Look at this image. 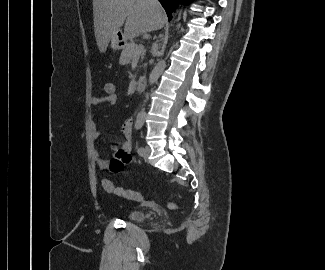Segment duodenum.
I'll return each mask as SVG.
<instances>
[{
  "mask_svg": "<svg viewBox=\"0 0 325 270\" xmlns=\"http://www.w3.org/2000/svg\"><path fill=\"white\" fill-rule=\"evenodd\" d=\"M148 85V79L146 77H140L136 83V93H141Z\"/></svg>",
  "mask_w": 325,
  "mask_h": 270,
  "instance_id": "duodenum-1",
  "label": "duodenum"
}]
</instances>
